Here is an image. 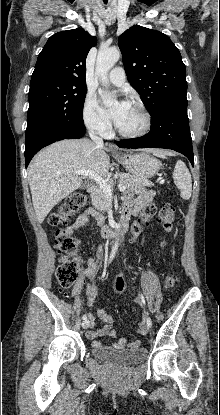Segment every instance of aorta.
<instances>
[{"label": "aorta", "mask_w": 220, "mask_h": 415, "mask_svg": "<svg viewBox=\"0 0 220 415\" xmlns=\"http://www.w3.org/2000/svg\"><path fill=\"white\" fill-rule=\"evenodd\" d=\"M121 53L118 49H101L98 52L95 73L102 81L103 85L107 86L108 83V72L120 59ZM102 100L105 105L111 106L116 103V97L111 94H104Z\"/></svg>", "instance_id": "obj_1"}]
</instances>
